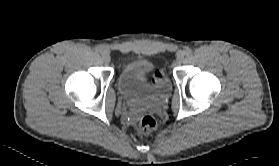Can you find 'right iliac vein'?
<instances>
[{
	"label": "right iliac vein",
	"instance_id": "63e3f726",
	"mask_svg": "<svg viewBox=\"0 0 279 166\" xmlns=\"http://www.w3.org/2000/svg\"><path fill=\"white\" fill-rule=\"evenodd\" d=\"M102 59H103L104 62L109 63L110 60H111V57H110L108 52L103 51L102 52Z\"/></svg>",
	"mask_w": 279,
	"mask_h": 166
}]
</instances>
